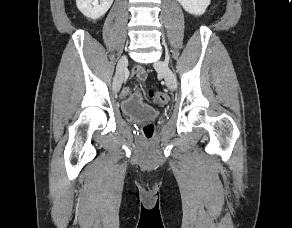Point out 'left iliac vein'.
<instances>
[{
  "mask_svg": "<svg viewBox=\"0 0 292 228\" xmlns=\"http://www.w3.org/2000/svg\"><path fill=\"white\" fill-rule=\"evenodd\" d=\"M155 69L161 74L170 90L174 91L177 88V79L174 73L169 68L168 64L163 61H157L154 64Z\"/></svg>",
  "mask_w": 292,
  "mask_h": 228,
  "instance_id": "1",
  "label": "left iliac vein"
}]
</instances>
